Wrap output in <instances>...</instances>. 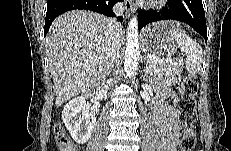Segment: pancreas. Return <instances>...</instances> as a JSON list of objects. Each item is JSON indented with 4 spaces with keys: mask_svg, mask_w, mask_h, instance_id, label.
I'll list each match as a JSON object with an SVG mask.
<instances>
[{
    "mask_svg": "<svg viewBox=\"0 0 231 151\" xmlns=\"http://www.w3.org/2000/svg\"><path fill=\"white\" fill-rule=\"evenodd\" d=\"M149 68L156 70L157 73L168 76L180 75L183 70V64L180 60L171 63H159L154 60H149Z\"/></svg>",
    "mask_w": 231,
    "mask_h": 151,
    "instance_id": "cf45deb5",
    "label": "pancreas"
}]
</instances>
